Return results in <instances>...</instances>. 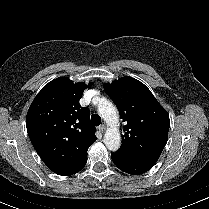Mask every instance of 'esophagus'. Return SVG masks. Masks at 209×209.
<instances>
[{
    "label": "esophagus",
    "mask_w": 209,
    "mask_h": 209,
    "mask_svg": "<svg viewBox=\"0 0 209 209\" xmlns=\"http://www.w3.org/2000/svg\"><path fill=\"white\" fill-rule=\"evenodd\" d=\"M99 130L103 133L106 130V126L104 124L100 125Z\"/></svg>",
    "instance_id": "34e87169"
}]
</instances>
